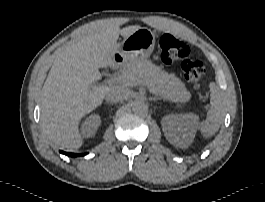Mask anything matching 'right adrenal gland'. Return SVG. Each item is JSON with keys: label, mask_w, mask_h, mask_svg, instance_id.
Listing matches in <instances>:
<instances>
[{"label": "right adrenal gland", "mask_w": 265, "mask_h": 202, "mask_svg": "<svg viewBox=\"0 0 265 202\" xmlns=\"http://www.w3.org/2000/svg\"><path fill=\"white\" fill-rule=\"evenodd\" d=\"M106 103H107L108 105H113V103H111V102H107V101H106Z\"/></svg>", "instance_id": "right-adrenal-gland-1"}]
</instances>
